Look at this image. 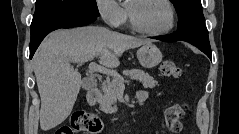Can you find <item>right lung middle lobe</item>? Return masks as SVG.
<instances>
[{
	"instance_id": "dd1d6c3e",
	"label": "right lung middle lobe",
	"mask_w": 239,
	"mask_h": 134,
	"mask_svg": "<svg viewBox=\"0 0 239 134\" xmlns=\"http://www.w3.org/2000/svg\"><path fill=\"white\" fill-rule=\"evenodd\" d=\"M76 11L99 16L96 0H37L31 28L60 12Z\"/></svg>"
}]
</instances>
